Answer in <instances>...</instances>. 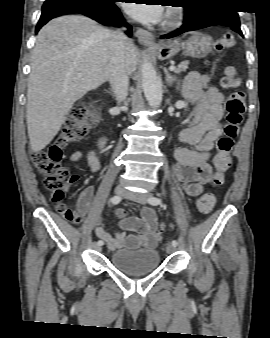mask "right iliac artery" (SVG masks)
<instances>
[{
    "instance_id": "82829eb1",
    "label": "right iliac artery",
    "mask_w": 270,
    "mask_h": 338,
    "mask_svg": "<svg viewBox=\"0 0 270 338\" xmlns=\"http://www.w3.org/2000/svg\"><path fill=\"white\" fill-rule=\"evenodd\" d=\"M120 201H121V196H113V197L111 198L112 204H118ZM97 244H98L99 246H102L104 243H103L102 240H99V241L97 242Z\"/></svg>"
}]
</instances>
